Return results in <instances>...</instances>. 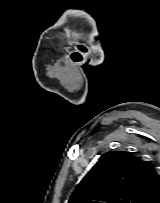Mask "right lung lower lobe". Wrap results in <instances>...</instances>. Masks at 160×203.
I'll return each mask as SVG.
<instances>
[{
    "label": "right lung lower lobe",
    "mask_w": 160,
    "mask_h": 203,
    "mask_svg": "<svg viewBox=\"0 0 160 203\" xmlns=\"http://www.w3.org/2000/svg\"><path fill=\"white\" fill-rule=\"evenodd\" d=\"M150 203H160V196L151 201Z\"/></svg>",
    "instance_id": "98d812e1"
}]
</instances>
